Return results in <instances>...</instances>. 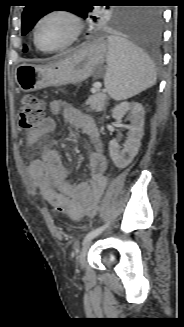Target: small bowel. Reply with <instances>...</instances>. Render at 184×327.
<instances>
[{
	"mask_svg": "<svg viewBox=\"0 0 184 327\" xmlns=\"http://www.w3.org/2000/svg\"><path fill=\"white\" fill-rule=\"evenodd\" d=\"M50 110L57 114L62 112L66 121L80 128L87 135L91 146L90 179L86 182H72L68 179L67 171L56 150L45 149L42 157L33 160L28 167L32 186L45 198L50 205L61 206L62 213L77 220L86 214L88 209L96 206L107 178V159L104 144L94 121L73 108L62 99H54ZM56 128L52 117L44 118L29 135V143L34 145L46 134ZM71 166H78V159L70 160Z\"/></svg>",
	"mask_w": 184,
	"mask_h": 327,
	"instance_id": "c3829d8e",
	"label": "small bowel"
}]
</instances>
